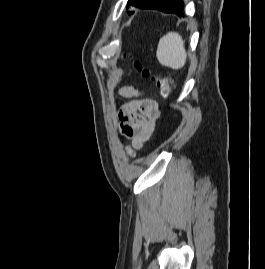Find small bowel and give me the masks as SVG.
Here are the masks:
<instances>
[{
  "instance_id": "c3829d8e",
  "label": "small bowel",
  "mask_w": 265,
  "mask_h": 269,
  "mask_svg": "<svg viewBox=\"0 0 265 269\" xmlns=\"http://www.w3.org/2000/svg\"><path fill=\"white\" fill-rule=\"evenodd\" d=\"M120 94L133 97L137 95V92L131 87H124L120 90ZM158 117V105L150 98L132 101L120 110L121 120L132 125L134 130L131 145L128 147L130 151L143 147L152 135Z\"/></svg>"
}]
</instances>
